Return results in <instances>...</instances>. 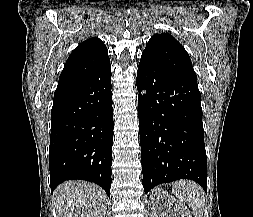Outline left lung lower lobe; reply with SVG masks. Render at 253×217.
<instances>
[{"label":"left lung lower lobe","mask_w":253,"mask_h":217,"mask_svg":"<svg viewBox=\"0 0 253 217\" xmlns=\"http://www.w3.org/2000/svg\"><path fill=\"white\" fill-rule=\"evenodd\" d=\"M143 187L191 179L207 190L198 86L141 57L137 72Z\"/></svg>","instance_id":"obj_1"}]
</instances>
